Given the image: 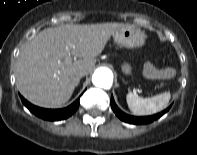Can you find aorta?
Here are the masks:
<instances>
[{"instance_id": "aorta-1", "label": "aorta", "mask_w": 197, "mask_h": 155, "mask_svg": "<svg viewBox=\"0 0 197 155\" xmlns=\"http://www.w3.org/2000/svg\"><path fill=\"white\" fill-rule=\"evenodd\" d=\"M92 81L97 87L109 89L113 81L112 71L106 67H100L94 72Z\"/></svg>"}]
</instances>
